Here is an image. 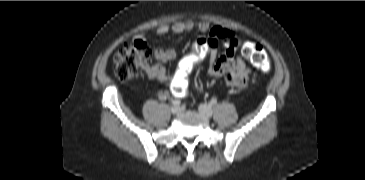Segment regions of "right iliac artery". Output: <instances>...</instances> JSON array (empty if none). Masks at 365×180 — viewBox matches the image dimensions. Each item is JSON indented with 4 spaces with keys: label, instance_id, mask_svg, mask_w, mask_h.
I'll list each match as a JSON object with an SVG mask.
<instances>
[{
    "label": "right iliac artery",
    "instance_id": "right-iliac-artery-1",
    "mask_svg": "<svg viewBox=\"0 0 365 180\" xmlns=\"http://www.w3.org/2000/svg\"><path fill=\"white\" fill-rule=\"evenodd\" d=\"M181 101L180 100H174L172 101L173 105H180Z\"/></svg>",
    "mask_w": 365,
    "mask_h": 180
}]
</instances>
